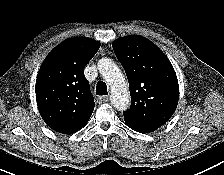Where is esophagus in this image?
Returning <instances> with one entry per match:
<instances>
[{"label":"esophagus","mask_w":224,"mask_h":175,"mask_svg":"<svg viewBox=\"0 0 224 175\" xmlns=\"http://www.w3.org/2000/svg\"><path fill=\"white\" fill-rule=\"evenodd\" d=\"M98 100H99V103L100 104L106 103V102L109 101V97L108 96H105V95L104 96H100Z\"/></svg>","instance_id":"obj_1"}]
</instances>
